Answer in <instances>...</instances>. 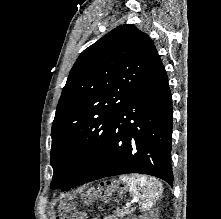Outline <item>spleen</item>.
<instances>
[{"instance_id": "3e777b00", "label": "spleen", "mask_w": 221, "mask_h": 219, "mask_svg": "<svg viewBox=\"0 0 221 219\" xmlns=\"http://www.w3.org/2000/svg\"><path fill=\"white\" fill-rule=\"evenodd\" d=\"M120 180L127 184L130 193L140 201L139 206L143 211L153 207L162 191V184L147 176L121 175Z\"/></svg>"}]
</instances>
